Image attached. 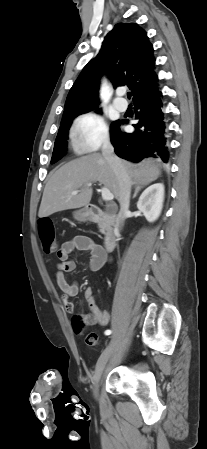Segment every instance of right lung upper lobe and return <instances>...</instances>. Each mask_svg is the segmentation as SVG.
<instances>
[{
	"label": "right lung upper lobe",
	"instance_id": "1",
	"mask_svg": "<svg viewBox=\"0 0 207 449\" xmlns=\"http://www.w3.org/2000/svg\"><path fill=\"white\" fill-rule=\"evenodd\" d=\"M153 51L146 32L137 24H116L105 37L98 56L84 67L70 89L62 120L97 108L102 73L114 86L127 85L133 100L156 90Z\"/></svg>",
	"mask_w": 207,
	"mask_h": 449
}]
</instances>
